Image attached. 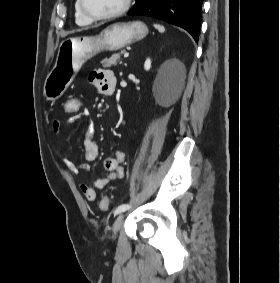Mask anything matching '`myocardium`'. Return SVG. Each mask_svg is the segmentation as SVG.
Returning a JSON list of instances; mask_svg holds the SVG:
<instances>
[{
	"instance_id": "f54148a6",
	"label": "myocardium",
	"mask_w": 280,
	"mask_h": 283,
	"mask_svg": "<svg viewBox=\"0 0 280 283\" xmlns=\"http://www.w3.org/2000/svg\"><path fill=\"white\" fill-rule=\"evenodd\" d=\"M132 1L133 0H125L123 5L121 6V8H119L118 10L109 13V14H104V15H96L93 14L92 12H90L85 5V0H79V4H80V8L83 12V14L90 19L91 21H102V20H110V19H114L117 18L121 15H123L124 13H126L131 5H132Z\"/></svg>"
}]
</instances>
